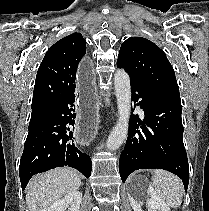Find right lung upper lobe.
<instances>
[{"label":"right lung upper lobe","mask_w":209,"mask_h":211,"mask_svg":"<svg viewBox=\"0 0 209 211\" xmlns=\"http://www.w3.org/2000/svg\"><path fill=\"white\" fill-rule=\"evenodd\" d=\"M85 53L86 43L80 33L70 34L50 47L37 72L32 112L44 111L75 92L76 71Z\"/></svg>","instance_id":"1"}]
</instances>
